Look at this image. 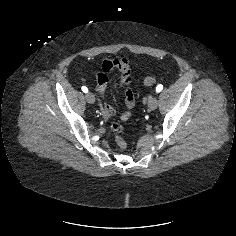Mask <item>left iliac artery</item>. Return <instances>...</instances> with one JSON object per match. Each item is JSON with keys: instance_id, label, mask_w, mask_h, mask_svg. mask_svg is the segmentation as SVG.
<instances>
[{"instance_id": "44dca946", "label": "left iliac artery", "mask_w": 236, "mask_h": 236, "mask_svg": "<svg viewBox=\"0 0 236 236\" xmlns=\"http://www.w3.org/2000/svg\"><path fill=\"white\" fill-rule=\"evenodd\" d=\"M163 89V85L159 84L157 87H156V92L159 93L161 92Z\"/></svg>"}]
</instances>
